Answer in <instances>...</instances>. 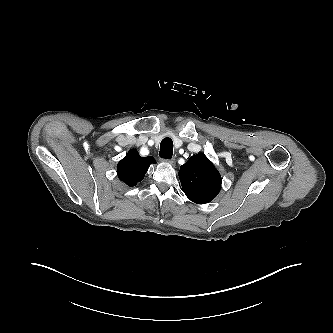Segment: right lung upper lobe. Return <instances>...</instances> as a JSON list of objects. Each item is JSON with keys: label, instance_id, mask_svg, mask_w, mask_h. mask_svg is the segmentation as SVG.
Returning a JSON list of instances; mask_svg holds the SVG:
<instances>
[{"label": "right lung upper lobe", "instance_id": "1", "mask_svg": "<svg viewBox=\"0 0 333 333\" xmlns=\"http://www.w3.org/2000/svg\"><path fill=\"white\" fill-rule=\"evenodd\" d=\"M151 163H156L152 156L141 157L135 149H131L118 163V177L128 186L133 187L144 178Z\"/></svg>", "mask_w": 333, "mask_h": 333}]
</instances>
